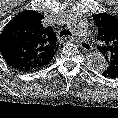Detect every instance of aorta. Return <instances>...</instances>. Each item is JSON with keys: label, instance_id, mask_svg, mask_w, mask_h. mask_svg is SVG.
I'll return each instance as SVG.
<instances>
[{"label": "aorta", "instance_id": "762f6f07", "mask_svg": "<svg viewBox=\"0 0 118 118\" xmlns=\"http://www.w3.org/2000/svg\"><path fill=\"white\" fill-rule=\"evenodd\" d=\"M67 26L78 36H86L89 33V26L85 19L76 12H70L65 17ZM88 67L98 73L107 68V61L100 52H93L87 56Z\"/></svg>", "mask_w": 118, "mask_h": 118}]
</instances>
